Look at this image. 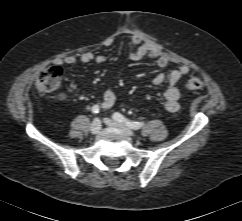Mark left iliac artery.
<instances>
[{
    "label": "left iliac artery",
    "mask_w": 242,
    "mask_h": 221,
    "mask_svg": "<svg viewBox=\"0 0 242 221\" xmlns=\"http://www.w3.org/2000/svg\"><path fill=\"white\" fill-rule=\"evenodd\" d=\"M113 119L118 122L124 123L128 128L133 129V130H138L141 127H143V125H144L143 122L131 121V120L125 118L122 114H120L118 112L113 114Z\"/></svg>",
    "instance_id": "left-iliac-artery-1"
}]
</instances>
